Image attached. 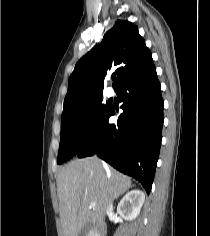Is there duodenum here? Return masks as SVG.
I'll return each mask as SVG.
<instances>
[{
    "instance_id": "1",
    "label": "duodenum",
    "mask_w": 210,
    "mask_h": 236,
    "mask_svg": "<svg viewBox=\"0 0 210 236\" xmlns=\"http://www.w3.org/2000/svg\"><path fill=\"white\" fill-rule=\"evenodd\" d=\"M90 236H104V234L102 233V231H96L92 233Z\"/></svg>"
}]
</instances>
